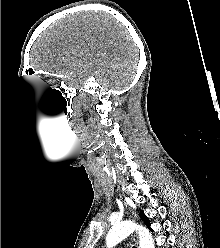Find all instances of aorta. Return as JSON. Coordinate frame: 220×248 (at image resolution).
<instances>
[{"label":"aorta","mask_w":220,"mask_h":248,"mask_svg":"<svg viewBox=\"0 0 220 248\" xmlns=\"http://www.w3.org/2000/svg\"><path fill=\"white\" fill-rule=\"evenodd\" d=\"M135 230L139 234V248H155L151 232L147 228L128 220L117 223L110 229L106 237L107 247H114Z\"/></svg>","instance_id":"762f6f07"}]
</instances>
